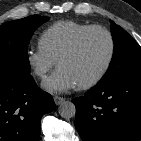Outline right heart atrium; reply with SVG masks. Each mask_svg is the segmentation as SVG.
<instances>
[{
    "label": "right heart atrium",
    "mask_w": 141,
    "mask_h": 141,
    "mask_svg": "<svg viewBox=\"0 0 141 141\" xmlns=\"http://www.w3.org/2000/svg\"><path fill=\"white\" fill-rule=\"evenodd\" d=\"M26 62L31 73L37 78H44L55 66L54 60L40 45L26 51Z\"/></svg>",
    "instance_id": "obj_1"
}]
</instances>
